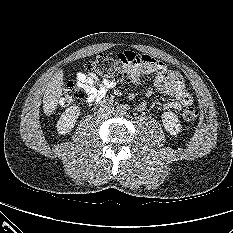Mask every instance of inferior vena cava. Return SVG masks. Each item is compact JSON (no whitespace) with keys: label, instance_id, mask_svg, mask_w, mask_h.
Listing matches in <instances>:
<instances>
[{"label":"inferior vena cava","instance_id":"602c4592","mask_svg":"<svg viewBox=\"0 0 233 233\" xmlns=\"http://www.w3.org/2000/svg\"><path fill=\"white\" fill-rule=\"evenodd\" d=\"M106 111V112H105ZM100 110V115L103 117V118H106L107 116L110 115V113L113 112V109L111 107H109L108 109L106 110Z\"/></svg>","mask_w":233,"mask_h":233}]
</instances>
